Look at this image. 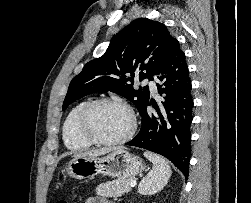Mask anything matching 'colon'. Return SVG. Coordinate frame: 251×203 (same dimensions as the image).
Here are the masks:
<instances>
[{
	"instance_id": "colon-1",
	"label": "colon",
	"mask_w": 251,
	"mask_h": 203,
	"mask_svg": "<svg viewBox=\"0 0 251 203\" xmlns=\"http://www.w3.org/2000/svg\"><path fill=\"white\" fill-rule=\"evenodd\" d=\"M56 203H69L66 199H59Z\"/></svg>"
}]
</instances>
